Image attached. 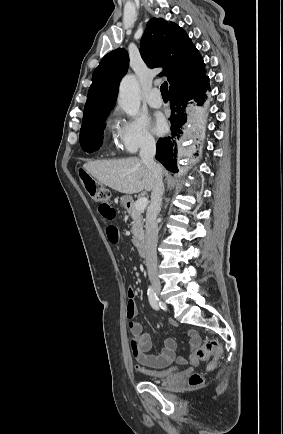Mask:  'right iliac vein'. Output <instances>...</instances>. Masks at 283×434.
I'll use <instances>...</instances> for the list:
<instances>
[{"label":"right iliac vein","instance_id":"obj_1","mask_svg":"<svg viewBox=\"0 0 283 434\" xmlns=\"http://www.w3.org/2000/svg\"><path fill=\"white\" fill-rule=\"evenodd\" d=\"M154 292L160 297L161 292V284L158 281L152 282Z\"/></svg>","mask_w":283,"mask_h":434}]
</instances>
